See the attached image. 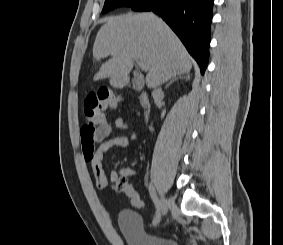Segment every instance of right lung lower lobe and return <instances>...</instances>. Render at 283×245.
I'll return each mask as SVG.
<instances>
[{
	"instance_id": "right-lung-lower-lobe-1",
	"label": "right lung lower lobe",
	"mask_w": 283,
	"mask_h": 245,
	"mask_svg": "<svg viewBox=\"0 0 283 245\" xmlns=\"http://www.w3.org/2000/svg\"><path fill=\"white\" fill-rule=\"evenodd\" d=\"M214 0H142L134 11H153L161 16L181 39L204 74L208 64L210 24Z\"/></svg>"
}]
</instances>
